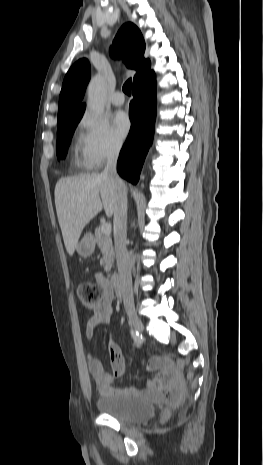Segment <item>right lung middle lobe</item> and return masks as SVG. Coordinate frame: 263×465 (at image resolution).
<instances>
[{
  "label": "right lung middle lobe",
  "instance_id": "right-lung-middle-lobe-1",
  "mask_svg": "<svg viewBox=\"0 0 263 465\" xmlns=\"http://www.w3.org/2000/svg\"><path fill=\"white\" fill-rule=\"evenodd\" d=\"M84 111H79L68 116L64 120L57 122V145L56 153L58 159H64L74 130L82 118Z\"/></svg>",
  "mask_w": 263,
  "mask_h": 465
}]
</instances>
